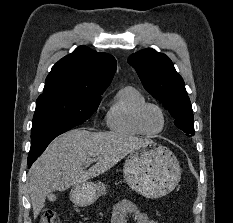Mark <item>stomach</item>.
<instances>
[{
    "mask_svg": "<svg viewBox=\"0 0 233 223\" xmlns=\"http://www.w3.org/2000/svg\"><path fill=\"white\" fill-rule=\"evenodd\" d=\"M181 171L174 153L152 139L128 153L123 165L124 179L130 189L151 199L169 193L180 181ZM100 195H108L103 181H83L70 191V199L78 207L91 205Z\"/></svg>",
    "mask_w": 233,
    "mask_h": 223,
    "instance_id": "obj_1",
    "label": "stomach"
}]
</instances>
